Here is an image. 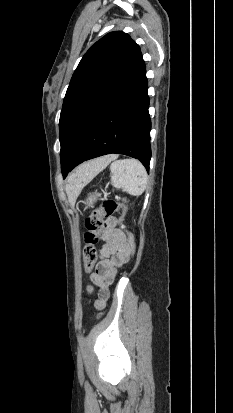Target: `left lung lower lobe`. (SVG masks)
Here are the masks:
<instances>
[{
    "instance_id": "left-lung-lower-lobe-1",
    "label": "left lung lower lobe",
    "mask_w": 233,
    "mask_h": 413,
    "mask_svg": "<svg viewBox=\"0 0 233 413\" xmlns=\"http://www.w3.org/2000/svg\"><path fill=\"white\" fill-rule=\"evenodd\" d=\"M147 91L140 52L121 84L90 122L72 160L62 168L64 178L83 161L111 153L139 159L149 172L151 121Z\"/></svg>"
}]
</instances>
